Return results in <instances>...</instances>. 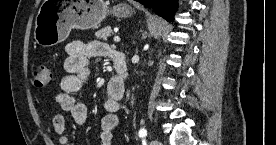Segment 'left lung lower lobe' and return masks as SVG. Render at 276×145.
I'll list each match as a JSON object with an SVG mask.
<instances>
[{
	"instance_id": "1",
	"label": "left lung lower lobe",
	"mask_w": 276,
	"mask_h": 145,
	"mask_svg": "<svg viewBox=\"0 0 276 145\" xmlns=\"http://www.w3.org/2000/svg\"><path fill=\"white\" fill-rule=\"evenodd\" d=\"M146 7H153L155 12L168 21L173 20L177 0H136Z\"/></svg>"
}]
</instances>
